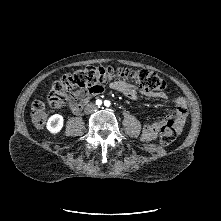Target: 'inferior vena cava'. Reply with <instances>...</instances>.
I'll return each mask as SVG.
<instances>
[{"label": "inferior vena cava", "mask_w": 221, "mask_h": 221, "mask_svg": "<svg viewBox=\"0 0 221 221\" xmlns=\"http://www.w3.org/2000/svg\"><path fill=\"white\" fill-rule=\"evenodd\" d=\"M96 109V105L95 104H87L86 107H85V112L86 113H90L92 111H94Z\"/></svg>", "instance_id": "1"}]
</instances>
